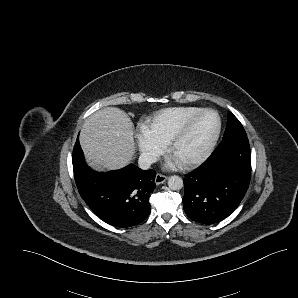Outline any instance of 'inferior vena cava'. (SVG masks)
<instances>
[{"mask_svg": "<svg viewBox=\"0 0 298 298\" xmlns=\"http://www.w3.org/2000/svg\"><path fill=\"white\" fill-rule=\"evenodd\" d=\"M159 160L158 156L154 153L143 152L140 154L138 159V166L142 170H149L152 164L156 163Z\"/></svg>", "mask_w": 298, "mask_h": 298, "instance_id": "1", "label": "inferior vena cava"}]
</instances>
